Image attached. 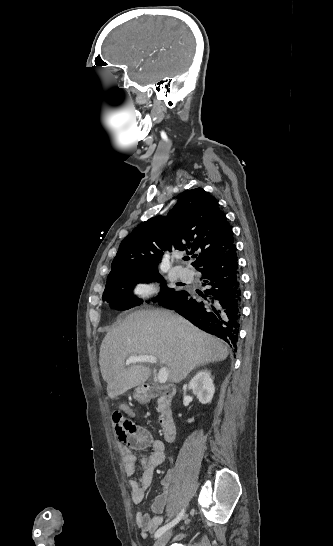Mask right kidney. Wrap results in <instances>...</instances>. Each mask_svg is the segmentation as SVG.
<instances>
[{
  "mask_svg": "<svg viewBox=\"0 0 333 546\" xmlns=\"http://www.w3.org/2000/svg\"><path fill=\"white\" fill-rule=\"evenodd\" d=\"M189 388L197 396L198 400L202 404H207L211 402L215 386L211 378L210 370H202L198 372L190 381ZM193 419H190L189 422H192Z\"/></svg>",
  "mask_w": 333,
  "mask_h": 546,
  "instance_id": "ca27d5eb",
  "label": "right kidney"
}]
</instances>
